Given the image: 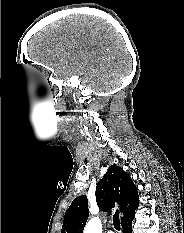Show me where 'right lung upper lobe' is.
Returning a JSON list of instances; mask_svg holds the SVG:
<instances>
[{
    "mask_svg": "<svg viewBox=\"0 0 184 233\" xmlns=\"http://www.w3.org/2000/svg\"><path fill=\"white\" fill-rule=\"evenodd\" d=\"M137 188L130 176L120 167L111 165L96 187V202L98 207L107 211L118 204L124 214L121 223L134 216L138 208ZM89 216L86 196L76 197L67 209L61 233H83Z\"/></svg>",
    "mask_w": 184,
    "mask_h": 233,
    "instance_id": "obj_1",
    "label": "right lung upper lobe"
}]
</instances>
